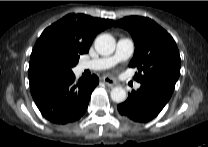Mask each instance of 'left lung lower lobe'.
Instances as JSON below:
<instances>
[{
	"label": "left lung lower lobe",
	"instance_id": "obj_1",
	"mask_svg": "<svg viewBox=\"0 0 208 147\" xmlns=\"http://www.w3.org/2000/svg\"><path fill=\"white\" fill-rule=\"evenodd\" d=\"M172 93V89L158 82H144L137 91H132L127 100L119 104L117 108L123 117L145 123L160 113Z\"/></svg>",
	"mask_w": 208,
	"mask_h": 147
}]
</instances>
